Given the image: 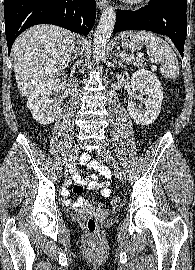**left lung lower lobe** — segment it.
Instances as JSON below:
<instances>
[{
    "instance_id": "1",
    "label": "left lung lower lobe",
    "mask_w": 195,
    "mask_h": 270,
    "mask_svg": "<svg viewBox=\"0 0 195 270\" xmlns=\"http://www.w3.org/2000/svg\"><path fill=\"white\" fill-rule=\"evenodd\" d=\"M186 0H150L137 10H117L113 32L147 30L168 36L183 56L187 35Z\"/></svg>"
}]
</instances>
